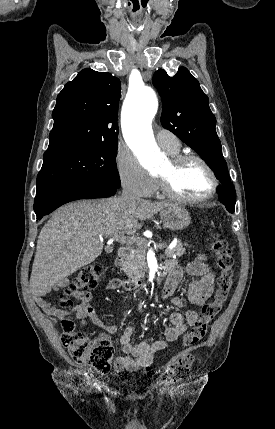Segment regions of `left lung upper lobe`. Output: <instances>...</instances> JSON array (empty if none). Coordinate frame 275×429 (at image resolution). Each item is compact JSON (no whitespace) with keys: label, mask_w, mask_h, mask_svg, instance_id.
Wrapping results in <instances>:
<instances>
[{"label":"left lung upper lobe","mask_w":275,"mask_h":429,"mask_svg":"<svg viewBox=\"0 0 275 429\" xmlns=\"http://www.w3.org/2000/svg\"><path fill=\"white\" fill-rule=\"evenodd\" d=\"M153 84L163 100L161 123L179 139L198 152L226 188V196L219 198L227 210L234 212L236 191L228 175L221 143L217 136L216 118L209 107V99L189 70L180 67L170 76L159 69Z\"/></svg>","instance_id":"left-lung-upper-lobe-1"}]
</instances>
